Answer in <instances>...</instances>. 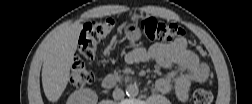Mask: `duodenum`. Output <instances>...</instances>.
Returning <instances> with one entry per match:
<instances>
[{"label": "duodenum", "mask_w": 252, "mask_h": 104, "mask_svg": "<svg viewBox=\"0 0 252 104\" xmlns=\"http://www.w3.org/2000/svg\"><path fill=\"white\" fill-rule=\"evenodd\" d=\"M126 77L123 75L109 74L102 80V87L105 89H110L114 87L118 82L125 80Z\"/></svg>", "instance_id": "duodenum-1"}]
</instances>
